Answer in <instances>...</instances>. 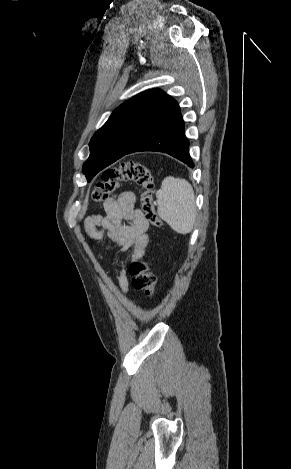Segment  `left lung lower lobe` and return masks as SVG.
<instances>
[{"instance_id":"0a47b994","label":"left lung lower lobe","mask_w":291,"mask_h":469,"mask_svg":"<svg viewBox=\"0 0 291 469\" xmlns=\"http://www.w3.org/2000/svg\"><path fill=\"white\" fill-rule=\"evenodd\" d=\"M188 147L189 141L185 136L184 121L180 108L178 107L165 122L149 132L128 151L115 159L118 160L124 155L134 152L157 151L167 153L193 168L194 164L190 157Z\"/></svg>"}]
</instances>
